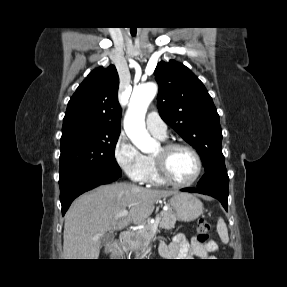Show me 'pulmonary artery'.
Returning a JSON list of instances; mask_svg holds the SVG:
<instances>
[{"instance_id": "e3ab8cb5", "label": "pulmonary artery", "mask_w": 287, "mask_h": 287, "mask_svg": "<svg viewBox=\"0 0 287 287\" xmlns=\"http://www.w3.org/2000/svg\"><path fill=\"white\" fill-rule=\"evenodd\" d=\"M146 126L151 134L159 139L167 136V126L157 112H150L146 117Z\"/></svg>"}]
</instances>
